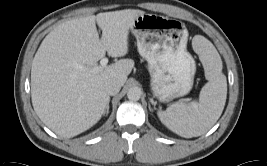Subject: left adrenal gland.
I'll return each instance as SVG.
<instances>
[{
	"instance_id": "obj_1",
	"label": "left adrenal gland",
	"mask_w": 267,
	"mask_h": 166,
	"mask_svg": "<svg viewBox=\"0 0 267 166\" xmlns=\"http://www.w3.org/2000/svg\"><path fill=\"white\" fill-rule=\"evenodd\" d=\"M150 101L152 102V99H150ZM149 110L151 111V107H150V105H149Z\"/></svg>"
}]
</instances>
